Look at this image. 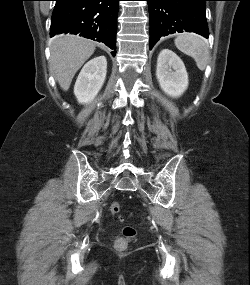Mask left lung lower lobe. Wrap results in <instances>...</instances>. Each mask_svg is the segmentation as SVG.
Here are the masks:
<instances>
[{
    "instance_id": "left-lung-lower-lobe-1",
    "label": "left lung lower lobe",
    "mask_w": 250,
    "mask_h": 285,
    "mask_svg": "<svg viewBox=\"0 0 250 285\" xmlns=\"http://www.w3.org/2000/svg\"><path fill=\"white\" fill-rule=\"evenodd\" d=\"M150 16V49L162 37L194 32L209 37L205 2L209 0H146Z\"/></svg>"
}]
</instances>
